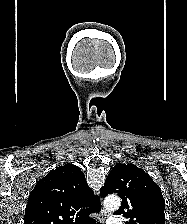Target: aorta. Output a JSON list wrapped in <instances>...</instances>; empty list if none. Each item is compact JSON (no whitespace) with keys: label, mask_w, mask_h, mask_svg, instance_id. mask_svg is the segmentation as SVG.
<instances>
[{"label":"aorta","mask_w":187,"mask_h":224,"mask_svg":"<svg viewBox=\"0 0 187 224\" xmlns=\"http://www.w3.org/2000/svg\"><path fill=\"white\" fill-rule=\"evenodd\" d=\"M121 205V199L118 196H108L104 200V207L108 211L117 210Z\"/></svg>","instance_id":"762f6f07"}]
</instances>
